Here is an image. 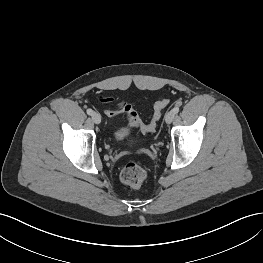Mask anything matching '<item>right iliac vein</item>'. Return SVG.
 Segmentation results:
<instances>
[{
	"instance_id": "obj_1",
	"label": "right iliac vein",
	"mask_w": 263,
	"mask_h": 263,
	"mask_svg": "<svg viewBox=\"0 0 263 263\" xmlns=\"http://www.w3.org/2000/svg\"><path fill=\"white\" fill-rule=\"evenodd\" d=\"M91 118H92V120H93V122H94L95 124H100V122H101V116H100L99 113L94 112V113L91 115Z\"/></svg>"
}]
</instances>
